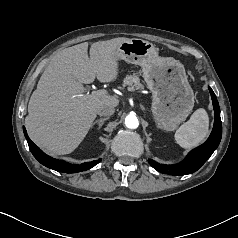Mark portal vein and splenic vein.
<instances>
[{
  "mask_svg": "<svg viewBox=\"0 0 238 238\" xmlns=\"http://www.w3.org/2000/svg\"><path fill=\"white\" fill-rule=\"evenodd\" d=\"M84 95H88V94H81V95H77L76 97H81V96H84ZM91 95L94 96V97L106 96L107 95V91L104 90V89H101V90L93 91L91 93Z\"/></svg>",
  "mask_w": 238,
  "mask_h": 238,
  "instance_id": "1",
  "label": "portal vein and splenic vein"
}]
</instances>
